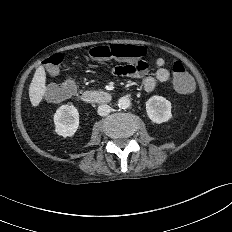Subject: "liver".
I'll use <instances>...</instances> for the list:
<instances>
[{"instance_id":"6515ba94","label":"liver","mask_w":232,"mask_h":232,"mask_svg":"<svg viewBox=\"0 0 232 232\" xmlns=\"http://www.w3.org/2000/svg\"><path fill=\"white\" fill-rule=\"evenodd\" d=\"M46 72L43 66H39L35 74L33 76V79L31 81V84L29 86V97L31 104L36 107L41 102L43 96L46 92Z\"/></svg>"}]
</instances>
